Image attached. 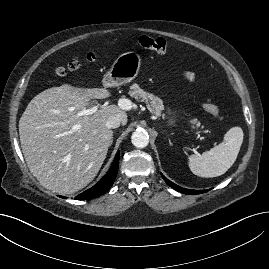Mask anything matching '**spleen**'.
<instances>
[{
  "label": "spleen",
  "instance_id": "1",
  "mask_svg": "<svg viewBox=\"0 0 269 269\" xmlns=\"http://www.w3.org/2000/svg\"><path fill=\"white\" fill-rule=\"evenodd\" d=\"M243 136L241 127L230 128L219 145L201 155L188 157L191 171L195 175L205 178L217 177L226 173L236 161Z\"/></svg>",
  "mask_w": 269,
  "mask_h": 269
}]
</instances>
